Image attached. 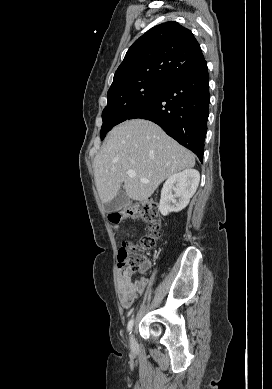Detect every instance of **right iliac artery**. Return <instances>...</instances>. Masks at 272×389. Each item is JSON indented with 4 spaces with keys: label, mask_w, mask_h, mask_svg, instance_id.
<instances>
[{
    "label": "right iliac artery",
    "mask_w": 272,
    "mask_h": 389,
    "mask_svg": "<svg viewBox=\"0 0 272 389\" xmlns=\"http://www.w3.org/2000/svg\"><path fill=\"white\" fill-rule=\"evenodd\" d=\"M133 323H134V320L131 319L129 322H128V331L131 333V330H132V327H133Z\"/></svg>",
    "instance_id": "82829eb1"
}]
</instances>
